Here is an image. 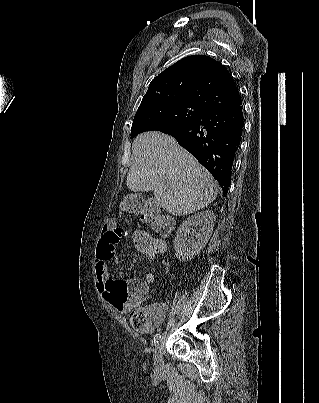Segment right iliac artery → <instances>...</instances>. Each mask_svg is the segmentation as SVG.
<instances>
[{
  "instance_id": "obj_1",
  "label": "right iliac artery",
  "mask_w": 319,
  "mask_h": 403,
  "mask_svg": "<svg viewBox=\"0 0 319 403\" xmlns=\"http://www.w3.org/2000/svg\"><path fill=\"white\" fill-rule=\"evenodd\" d=\"M160 339H161V334L160 333L155 334L154 339L152 341V345L156 346Z\"/></svg>"
}]
</instances>
